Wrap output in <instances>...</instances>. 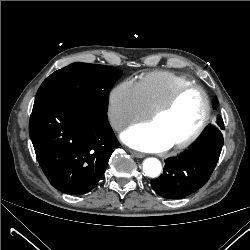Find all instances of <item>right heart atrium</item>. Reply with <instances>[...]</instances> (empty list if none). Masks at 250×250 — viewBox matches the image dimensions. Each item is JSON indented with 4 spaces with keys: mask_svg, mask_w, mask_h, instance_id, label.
<instances>
[{
    "mask_svg": "<svg viewBox=\"0 0 250 250\" xmlns=\"http://www.w3.org/2000/svg\"><path fill=\"white\" fill-rule=\"evenodd\" d=\"M149 114L136 83L124 80L115 85L108 94L107 116L111 127L121 132L145 119Z\"/></svg>",
    "mask_w": 250,
    "mask_h": 250,
    "instance_id": "right-heart-atrium-1",
    "label": "right heart atrium"
}]
</instances>
